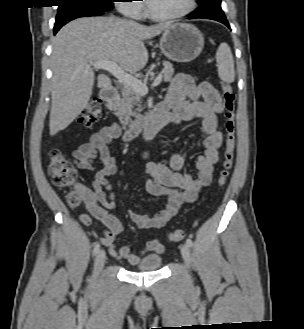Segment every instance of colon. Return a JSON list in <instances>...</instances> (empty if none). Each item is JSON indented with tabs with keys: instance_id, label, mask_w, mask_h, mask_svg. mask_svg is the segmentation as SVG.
<instances>
[{
	"instance_id": "obj_1",
	"label": "colon",
	"mask_w": 304,
	"mask_h": 329,
	"mask_svg": "<svg viewBox=\"0 0 304 329\" xmlns=\"http://www.w3.org/2000/svg\"><path fill=\"white\" fill-rule=\"evenodd\" d=\"M222 99L224 107V129H225V147L222 156L221 169L219 171L217 185L222 187L226 184L233 166V160L236 147L235 134V94L229 83L222 82ZM102 114V103L99 99H92L83 115L81 123L89 128L94 124ZM48 173L53 184L60 189H71L67 194L66 200L70 207H78L82 200V192L75 187L77 180V170L69 158L58 149H53L49 155ZM184 231L180 229L172 230L169 233V239L172 242H179L184 238Z\"/></svg>"
}]
</instances>
